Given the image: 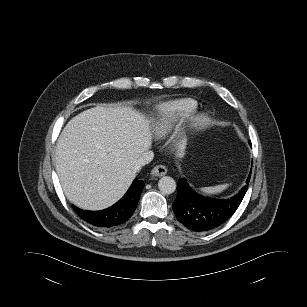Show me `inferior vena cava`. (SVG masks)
Wrapping results in <instances>:
<instances>
[{
    "label": "inferior vena cava",
    "instance_id": "obj_1",
    "mask_svg": "<svg viewBox=\"0 0 307 307\" xmlns=\"http://www.w3.org/2000/svg\"><path fill=\"white\" fill-rule=\"evenodd\" d=\"M154 153L152 151H145L136 163V169L139 170L142 166L150 163L153 160Z\"/></svg>",
    "mask_w": 307,
    "mask_h": 307
}]
</instances>
